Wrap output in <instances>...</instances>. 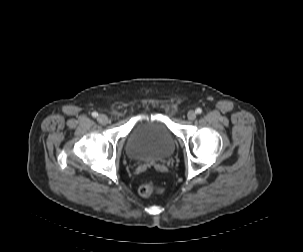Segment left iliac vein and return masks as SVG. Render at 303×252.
<instances>
[{"label": "left iliac vein", "instance_id": "4c4485c4", "mask_svg": "<svg viewBox=\"0 0 303 252\" xmlns=\"http://www.w3.org/2000/svg\"><path fill=\"white\" fill-rule=\"evenodd\" d=\"M196 112L195 111H189L188 114H187V118L190 120V121H193L196 119Z\"/></svg>", "mask_w": 303, "mask_h": 252}]
</instances>
